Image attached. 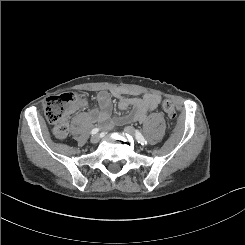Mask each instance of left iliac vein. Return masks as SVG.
<instances>
[{
	"instance_id": "4c4485c4",
	"label": "left iliac vein",
	"mask_w": 245,
	"mask_h": 245,
	"mask_svg": "<svg viewBox=\"0 0 245 245\" xmlns=\"http://www.w3.org/2000/svg\"><path fill=\"white\" fill-rule=\"evenodd\" d=\"M124 132L127 133V134H129V135H132V136L135 135V130H134V128L131 127V126H126V127L124 128Z\"/></svg>"
}]
</instances>
